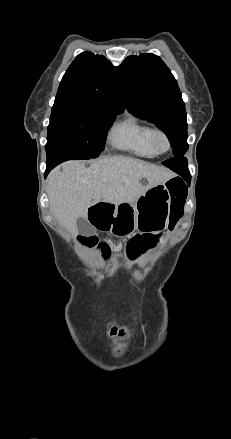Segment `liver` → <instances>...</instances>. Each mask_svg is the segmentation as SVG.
<instances>
[{
	"instance_id": "obj_1",
	"label": "liver",
	"mask_w": 231,
	"mask_h": 439,
	"mask_svg": "<svg viewBox=\"0 0 231 439\" xmlns=\"http://www.w3.org/2000/svg\"><path fill=\"white\" fill-rule=\"evenodd\" d=\"M175 174L166 167L123 156L104 158L85 167L82 161H67L48 177L50 211L75 236L77 219L86 218L90 206L99 202L134 203L148 189L163 184ZM145 178L147 185L140 180Z\"/></svg>"
}]
</instances>
